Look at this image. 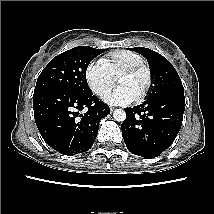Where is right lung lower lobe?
I'll use <instances>...</instances> for the list:
<instances>
[{
    "label": "right lung lower lobe",
    "mask_w": 214,
    "mask_h": 214,
    "mask_svg": "<svg viewBox=\"0 0 214 214\" xmlns=\"http://www.w3.org/2000/svg\"><path fill=\"white\" fill-rule=\"evenodd\" d=\"M33 109L44 141L64 155L89 150L97 137L99 121L110 114L109 107L92 93L59 90L34 94Z\"/></svg>",
    "instance_id": "right-lung-lower-lobe-1"
}]
</instances>
